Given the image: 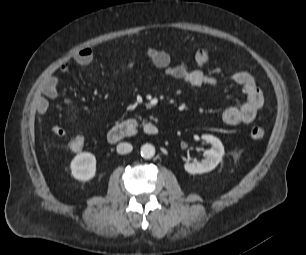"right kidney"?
Returning a JSON list of instances; mask_svg holds the SVG:
<instances>
[{
	"instance_id": "right-kidney-1",
	"label": "right kidney",
	"mask_w": 306,
	"mask_h": 255,
	"mask_svg": "<svg viewBox=\"0 0 306 255\" xmlns=\"http://www.w3.org/2000/svg\"><path fill=\"white\" fill-rule=\"evenodd\" d=\"M71 174L80 181H88L96 174V158L89 152H83L71 161Z\"/></svg>"
}]
</instances>
